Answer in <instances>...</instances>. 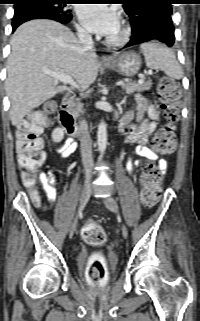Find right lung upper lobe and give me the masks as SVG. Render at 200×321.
<instances>
[{
    "label": "right lung upper lobe",
    "mask_w": 200,
    "mask_h": 321,
    "mask_svg": "<svg viewBox=\"0 0 200 321\" xmlns=\"http://www.w3.org/2000/svg\"><path fill=\"white\" fill-rule=\"evenodd\" d=\"M24 1H28V0H17L18 3H16L15 5H19L21 4V2H24Z\"/></svg>",
    "instance_id": "cb5924a9"
}]
</instances>
